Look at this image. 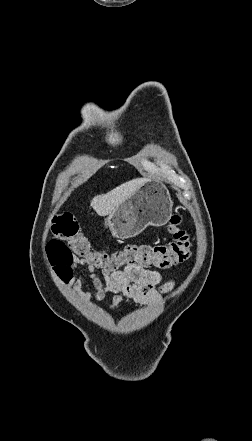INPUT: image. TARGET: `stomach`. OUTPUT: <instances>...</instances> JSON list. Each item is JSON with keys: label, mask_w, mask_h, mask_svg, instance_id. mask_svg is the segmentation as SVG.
I'll list each match as a JSON object with an SVG mask.
<instances>
[{"label": "stomach", "mask_w": 252, "mask_h": 441, "mask_svg": "<svg viewBox=\"0 0 252 441\" xmlns=\"http://www.w3.org/2000/svg\"><path fill=\"white\" fill-rule=\"evenodd\" d=\"M173 201L160 181H147L105 219L115 238L124 240L140 234L147 226H163L172 215Z\"/></svg>", "instance_id": "0dacf381"}]
</instances>
